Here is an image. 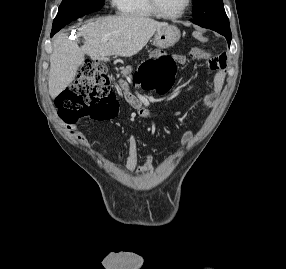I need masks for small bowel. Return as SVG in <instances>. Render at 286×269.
<instances>
[{
  "instance_id": "1",
  "label": "small bowel",
  "mask_w": 286,
  "mask_h": 269,
  "mask_svg": "<svg viewBox=\"0 0 286 269\" xmlns=\"http://www.w3.org/2000/svg\"><path fill=\"white\" fill-rule=\"evenodd\" d=\"M187 59L191 60H206L208 67L215 72L213 78V94L206 96L204 99V107L207 110H212L215 105V96L221 91L227 71V56L226 54L212 55L208 51L193 48L190 49L187 56L183 54L175 55V60L179 64H185ZM123 93H132V88H123ZM124 99H136V94H124ZM129 106H134V110H138L139 120H153V123H167L170 119L168 111H145L146 105H142V101H129ZM191 138V133L189 131L185 132L184 140L188 142ZM84 141L85 139L82 138ZM128 149L127 157L125 160L126 169L130 173L136 172L138 168V158H139V147L138 140L134 135L128 137ZM154 161V156L149 154L144 160L142 167L143 172H150L152 169V164Z\"/></svg>"
}]
</instances>
